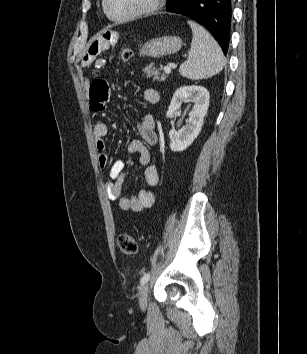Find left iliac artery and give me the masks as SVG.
<instances>
[{
  "label": "left iliac artery",
  "instance_id": "1",
  "mask_svg": "<svg viewBox=\"0 0 307 354\" xmlns=\"http://www.w3.org/2000/svg\"><path fill=\"white\" fill-rule=\"evenodd\" d=\"M150 278V274L149 273H145L142 277H141V280H140V283L141 285H144L145 283L148 282Z\"/></svg>",
  "mask_w": 307,
  "mask_h": 354
}]
</instances>
